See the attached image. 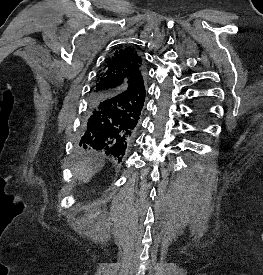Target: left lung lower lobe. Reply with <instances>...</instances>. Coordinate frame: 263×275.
<instances>
[{"instance_id":"0a47b994","label":"left lung lower lobe","mask_w":263,"mask_h":275,"mask_svg":"<svg viewBox=\"0 0 263 275\" xmlns=\"http://www.w3.org/2000/svg\"><path fill=\"white\" fill-rule=\"evenodd\" d=\"M200 111H201L200 115H202L203 114V107L202 106L200 107Z\"/></svg>"}]
</instances>
